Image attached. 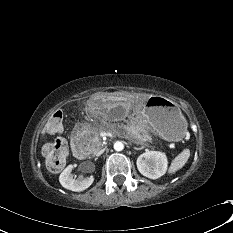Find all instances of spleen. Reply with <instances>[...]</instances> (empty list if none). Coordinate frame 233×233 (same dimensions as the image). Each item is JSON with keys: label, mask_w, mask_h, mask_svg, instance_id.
I'll list each match as a JSON object with an SVG mask.
<instances>
[{"label": "spleen", "mask_w": 233, "mask_h": 233, "mask_svg": "<svg viewBox=\"0 0 233 233\" xmlns=\"http://www.w3.org/2000/svg\"><path fill=\"white\" fill-rule=\"evenodd\" d=\"M190 157V150L184 149L179 155H177L171 162L169 167V174H173L179 169H181L188 161Z\"/></svg>", "instance_id": "spleen-1"}]
</instances>
